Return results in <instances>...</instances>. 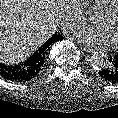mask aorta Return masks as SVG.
Listing matches in <instances>:
<instances>
[{
	"instance_id": "1",
	"label": "aorta",
	"mask_w": 118,
	"mask_h": 118,
	"mask_svg": "<svg viewBox=\"0 0 118 118\" xmlns=\"http://www.w3.org/2000/svg\"><path fill=\"white\" fill-rule=\"evenodd\" d=\"M90 64L94 69H103L108 64V58L102 52H94L90 57Z\"/></svg>"
}]
</instances>
